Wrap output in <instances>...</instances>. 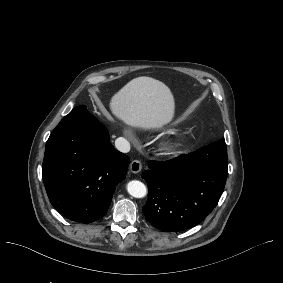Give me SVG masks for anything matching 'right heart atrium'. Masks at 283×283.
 I'll return each instance as SVG.
<instances>
[{"instance_id": "obj_1", "label": "right heart atrium", "mask_w": 283, "mask_h": 283, "mask_svg": "<svg viewBox=\"0 0 283 283\" xmlns=\"http://www.w3.org/2000/svg\"><path fill=\"white\" fill-rule=\"evenodd\" d=\"M120 129L122 131V133L127 136L128 138H130L131 140H135L136 139V133L134 131H132L131 129H129L127 126L125 125H120Z\"/></svg>"}]
</instances>
